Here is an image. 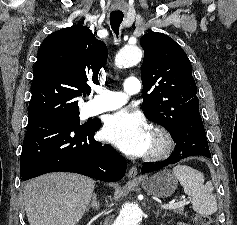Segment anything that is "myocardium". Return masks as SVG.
Segmentation results:
<instances>
[{
  "label": "myocardium",
  "mask_w": 237,
  "mask_h": 225,
  "mask_svg": "<svg viewBox=\"0 0 237 225\" xmlns=\"http://www.w3.org/2000/svg\"><path fill=\"white\" fill-rule=\"evenodd\" d=\"M150 137L153 140V144L145 154L147 160H162L172 153L174 140L172 135L166 129L159 126H153L150 129Z\"/></svg>",
  "instance_id": "f54148a6"
}]
</instances>
